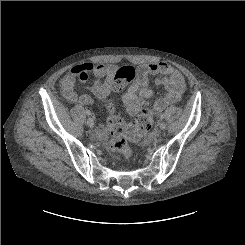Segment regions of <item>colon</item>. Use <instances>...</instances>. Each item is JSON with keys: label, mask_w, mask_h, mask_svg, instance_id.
<instances>
[{"label": "colon", "mask_w": 245, "mask_h": 245, "mask_svg": "<svg viewBox=\"0 0 245 245\" xmlns=\"http://www.w3.org/2000/svg\"><path fill=\"white\" fill-rule=\"evenodd\" d=\"M86 76H82L85 78ZM134 78V73L130 68H124L121 75L115 80V89L121 88L125 84L131 82ZM110 116L108 123L113 133L112 148L119 152L124 158H129L132 154L128 143V138L136 140L145 134L151 127V118L147 111H143L135 121L127 125L120 117L114 114L113 105L108 106Z\"/></svg>", "instance_id": "1"}]
</instances>
